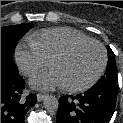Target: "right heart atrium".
<instances>
[{"instance_id":"right-heart-atrium-1","label":"right heart atrium","mask_w":123,"mask_h":123,"mask_svg":"<svg viewBox=\"0 0 123 123\" xmlns=\"http://www.w3.org/2000/svg\"><path fill=\"white\" fill-rule=\"evenodd\" d=\"M15 61L21 73L26 77L36 75L49 64V60L30 42L17 45Z\"/></svg>"}]
</instances>
